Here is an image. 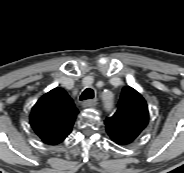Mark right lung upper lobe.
I'll return each mask as SVG.
<instances>
[{
  "label": "right lung upper lobe",
  "mask_w": 184,
  "mask_h": 173,
  "mask_svg": "<svg viewBox=\"0 0 184 173\" xmlns=\"http://www.w3.org/2000/svg\"><path fill=\"white\" fill-rule=\"evenodd\" d=\"M78 113L67 92L62 88H54L34 105L30 123L45 144L57 145L71 133Z\"/></svg>",
  "instance_id": "cb5924a9"
}]
</instances>
